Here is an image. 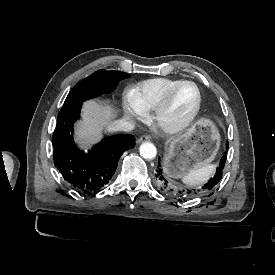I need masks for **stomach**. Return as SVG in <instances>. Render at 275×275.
I'll return each instance as SVG.
<instances>
[{
  "label": "stomach",
  "mask_w": 275,
  "mask_h": 275,
  "mask_svg": "<svg viewBox=\"0 0 275 275\" xmlns=\"http://www.w3.org/2000/svg\"><path fill=\"white\" fill-rule=\"evenodd\" d=\"M219 145L217 129L211 122L201 119L168 144L163 164L165 173L181 178L190 170L208 165L215 158Z\"/></svg>",
  "instance_id": "1"
}]
</instances>
